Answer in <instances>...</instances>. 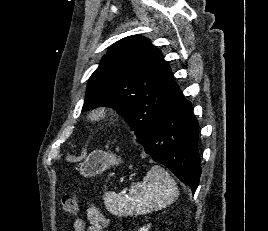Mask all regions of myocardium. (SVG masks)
<instances>
[{"mask_svg":"<svg viewBox=\"0 0 268 231\" xmlns=\"http://www.w3.org/2000/svg\"><path fill=\"white\" fill-rule=\"evenodd\" d=\"M110 115V109L107 106L94 107L90 112V118L94 123L105 121Z\"/></svg>","mask_w":268,"mask_h":231,"instance_id":"f54148a6","label":"myocardium"}]
</instances>
